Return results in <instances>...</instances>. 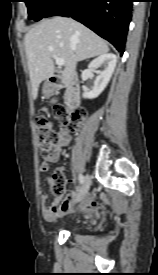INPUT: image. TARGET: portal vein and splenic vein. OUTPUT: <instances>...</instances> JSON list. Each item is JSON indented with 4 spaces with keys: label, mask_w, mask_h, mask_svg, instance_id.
I'll return each instance as SVG.
<instances>
[{
    "label": "portal vein and splenic vein",
    "mask_w": 158,
    "mask_h": 275,
    "mask_svg": "<svg viewBox=\"0 0 158 275\" xmlns=\"http://www.w3.org/2000/svg\"><path fill=\"white\" fill-rule=\"evenodd\" d=\"M53 58L58 66L64 65V60L56 55H53Z\"/></svg>",
    "instance_id": "18ae733b"
}]
</instances>
